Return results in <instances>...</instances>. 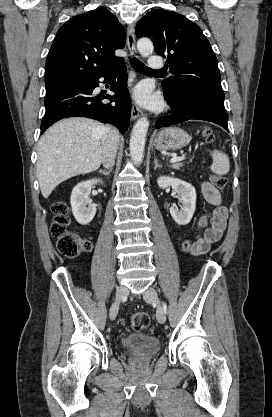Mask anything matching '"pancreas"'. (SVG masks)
<instances>
[{"label":"pancreas","instance_id":"1","mask_svg":"<svg viewBox=\"0 0 272 417\" xmlns=\"http://www.w3.org/2000/svg\"><path fill=\"white\" fill-rule=\"evenodd\" d=\"M181 166H182V164H181V163H174V164L172 165V168H173V169H176V170H179Z\"/></svg>","mask_w":272,"mask_h":417}]
</instances>
